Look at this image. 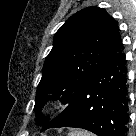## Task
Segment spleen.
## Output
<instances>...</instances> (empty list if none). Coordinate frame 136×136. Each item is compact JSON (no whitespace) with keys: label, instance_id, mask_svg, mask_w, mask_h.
<instances>
[{"label":"spleen","instance_id":"obj_1","mask_svg":"<svg viewBox=\"0 0 136 136\" xmlns=\"http://www.w3.org/2000/svg\"><path fill=\"white\" fill-rule=\"evenodd\" d=\"M71 136H93V135H90L86 132H82V131H76L74 133L71 134Z\"/></svg>","mask_w":136,"mask_h":136}]
</instances>
